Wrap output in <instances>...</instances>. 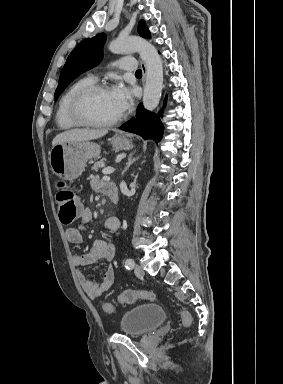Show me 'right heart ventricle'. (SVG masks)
Here are the masks:
<instances>
[{"mask_svg": "<svg viewBox=\"0 0 283 384\" xmlns=\"http://www.w3.org/2000/svg\"><path fill=\"white\" fill-rule=\"evenodd\" d=\"M94 83L89 77L82 78L74 82L60 97L56 112L55 121L60 130L70 131L77 128V126L70 120L68 110L69 105L74 95L83 87Z\"/></svg>", "mask_w": 283, "mask_h": 384, "instance_id": "right-heart-ventricle-1", "label": "right heart ventricle"}]
</instances>
